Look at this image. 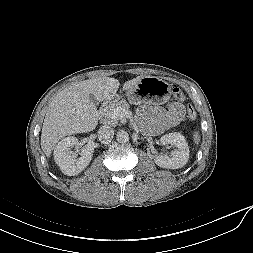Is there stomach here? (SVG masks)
Instances as JSON below:
<instances>
[{"instance_id": "0dacf381", "label": "stomach", "mask_w": 253, "mask_h": 253, "mask_svg": "<svg viewBox=\"0 0 253 253\" xmlns=\"http://www.w3.org/2000/svg\"><path fill=\"white\" fill-rule=\"evenodd\" d=\"M125 95L132 104L161 105L170 99L171 84L155 76H145L136 86L126 90ZM118 98L115 95L110 100L116 101Z\"/></svg>"}]
</instances>
